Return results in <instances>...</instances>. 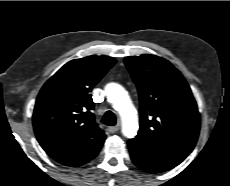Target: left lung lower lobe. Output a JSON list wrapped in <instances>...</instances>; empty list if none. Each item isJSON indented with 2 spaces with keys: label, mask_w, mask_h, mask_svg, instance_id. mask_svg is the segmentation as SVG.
<instances>
[{
  "label": "left lung lower lobe",
  "mask_w": 230,
  "mask_h": 186,
  "mask_svg": "<svg viewBox=\"0 0 230 186\" xmlns=\"http://www.w3.org/2000/svg\"><path fill=\"white\" fill-rule=\"evenodd\" d=\"M133 163L149 173H159L179 165L187 156L166 150H160L136 139L128 141Z\"/></svg>",
  "instance_id": "0a47b994"
}]
</instances>
